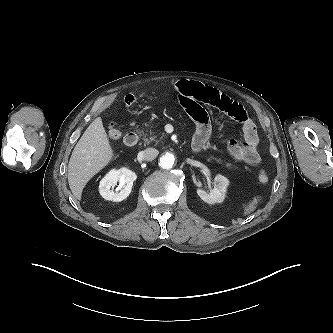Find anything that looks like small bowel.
Masks as SVG:
<instances>
[{
  "label": "small bowel",
  "instance_id": "1",
  "mask_svg": "<svg viewBox=\"0 0 333 333\" xmlns=\"http://www.w3.org/2000/svg\"><path fill=\"white\" fill-rule=\"evenodd\" d=\"M175 90L182 106L195 123L193 147L205 146L211 135V123L202 105L212 106L242 124L243 142L236 139L228 141L227 150L236 160L256 166L260 163L258 152L259 136L257 128L245 108L218 89L195 81H180Z\"/></svg>",
  "mask_w": 333,
  "mask_h": 333
}]
</instances>
